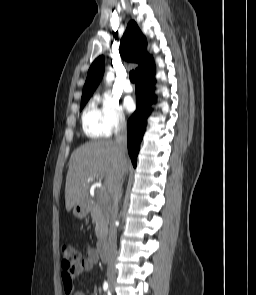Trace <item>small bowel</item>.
<instances>
[{"label": "small bowel", "mask_w": 256, "mask_h": 295, "mask_svg": "<svg viewBox=\"0 0 256 295\" xmlns=\"http://www.w3.org/2000/svg\"><path fill=\"white\" fill-rule=\"evenodd\" d=\"M98 261V254L94 248H89L86 251L85 257H82L80 262L73 270H66L62 273V281L66 295H84L81 291L76 290L74 286L75 277L93 269ZM100 293H98L99 295Z\"/></svg>", "instance_id": "obj_1"}]
</instances>
